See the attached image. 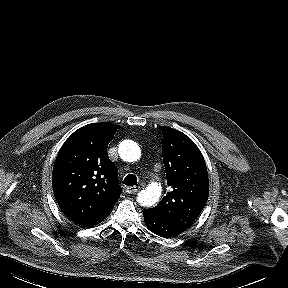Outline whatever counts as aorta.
<instances>
[{"label": "aorta", "mask_w": 288, "mask_h": 288, "mask_svg": "<svg viewBox=\"0 0 288 288\" xmlns=\"http://www.w3.org/2000/svg\"><path fill=\"white\" fill-rule=\"evenodd\" d=\"M119 155L121 159L127 162L137 161L141 156V150L138 144L132 140H124L119 145ZM161 196V185L151 183L145 190L137 195V202L146 207L156 204Z\"/></svg>", "instance_id": "aorta-1"}]
</instances>
